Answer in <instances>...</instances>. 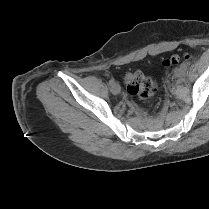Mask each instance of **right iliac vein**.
Wrapping results in <instances>:
<instances>
[{
  "mask_svg": "<svg viewBox=\"0 0 209 209\" xmlns=\"http://www.w3.org/2000/svg\"><path fill=\"white\" fill-rule=\"evenodd\" d=\"M121 91V87L118 83H114L113 85H111V92L113 94H119Z\"/></svg>",
  "mask_w": 209,
  "mask_h": 209,
  "instance_id": "right-iliac-vein-1",
  "label": "right iliac vein"
}]
</instances>
